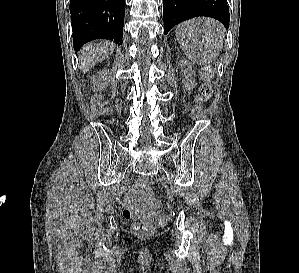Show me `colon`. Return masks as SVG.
I'll list each match as a JSON object with an SVG mask.
<instances>
[{
	"label": "colon",
	"instance_id": "obj_1",
	"mask_svg": "<svg viewBox=\"0 0 299 273\" xmlns=\"http://www.w3.org/2000/svg\"><path fill=\"white\" fill-rule=\"evenodd\" d=\"M202 76H203V79H204V83L200 86L199 93L196 97L197 102L206 101L207 99L210 98V96L212 94V87L209 83V81L211 80V78L213 76L211 68H209V67L204 68V70L202 72ZM142 187L145 190L149 189V186H148L147 182H144ZM135 211H136V202H133L123 210L124 218L132 219L135 215ZM167 219H168V216L161 215L159 217V222H165V221H167ZM133 230L137 234L148 235V234H151L154 231V226L152 224H149V223L139 222V223H135L133 225Z\"/></svg>",
	"mask_w": 299,
	"mask_h": 273
}]
</instances>
